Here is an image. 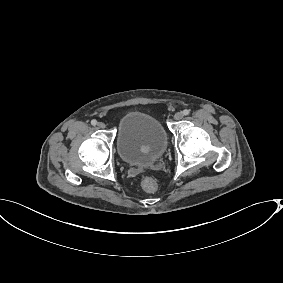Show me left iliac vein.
Instances as JSON below:
<instances>
[{"label": "left iliac vein", "instance_id": "obj_1", "mask_svg": "<svg viewBox=\"0 0 283 283\" xmlns=\"http://www.w3.org/2000/svg\"><path fill=\"white\" fill-rule=\"evenodd\" d=\"M184 114L182 112H177L175 115H174V119L175 120H181L183 118Z\"/></svg>", "mask_w": 283, "mask_h": 283}]
</instances>
